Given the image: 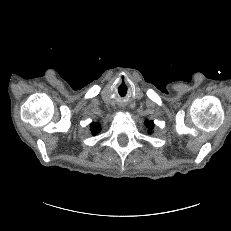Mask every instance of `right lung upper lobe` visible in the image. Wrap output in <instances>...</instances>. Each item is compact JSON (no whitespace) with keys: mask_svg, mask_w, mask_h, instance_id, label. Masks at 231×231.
Returning a JSON list of instances; mask_svg holds the SVG:
<instances>
[{"mask_svg":"<svg viewBox=\"0 0 231 231\" xmlns=\"http://www.w3.org/2000/svg\"><path fill=\"white\" fill-rule=\"evenodd\" d=\"M90 129H91L92 134L96 135L100 132L101 126L99 123H92Z\"/></svg>","mask_w":231,"mask_h":231,"instance_id":"cb5924a9","label":"right lung upper lobe"}]
</instances>
